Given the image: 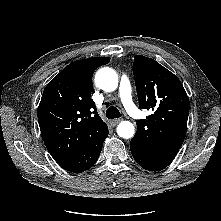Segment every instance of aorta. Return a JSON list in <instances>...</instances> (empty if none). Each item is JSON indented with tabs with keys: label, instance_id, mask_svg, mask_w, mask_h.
I'll list each match as a JSON object with an SVG mask.
<instances>
[{
	"label": "aorta",
	"instance_id": "obj_1",
	"mask_svg": "<svg viewBox=\"0 0 221 221\" xmlns=\"http://www.w3.org/2000/svg\"><path fill=\"white\" fill-rule=\"evenodd\" d=\"M95 84L98 88L112 92L118 86V75L109 67L99 69L95 75ZM135 128L129 121H122L117 126V134L124 139H130L134 136Z\"/></svg>",
	"mask_w": 221,
	"mask_h": 221
}]
</instances>
